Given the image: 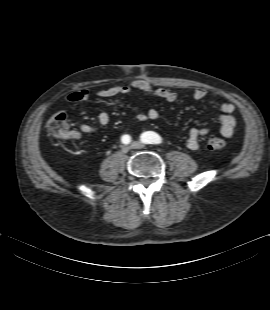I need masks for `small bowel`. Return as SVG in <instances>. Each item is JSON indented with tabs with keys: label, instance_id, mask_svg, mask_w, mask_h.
Returning <instances> with one entry per match:
<instances>
[{
	"label": "small bowel",
	"instance_id": "1",
	"mask_svg": "<svg viewBox=\"0 0 270 310\" xmlns=\"http://www.w3.org/2000/svg\"><path fill=\"white\" fill-rule=\"evenodd\" d=\"M133 92H139L152 98L161 99L166 102H175L178 98L176 92L163 89L154 88L149 83L143 80H134L129 85H115L109 88L101 89L96 92L99 98H113L117 96L129 95ZM194 100H203L209 96L208 92L203 88H196L192 93ZM90 98V92L87 89H79L69 93L65 100L71 103H79L87 101ZM221 114L219 116L220 132L224 137H231L234 133L235 121V106L230 102H224L220 105ZM160 118V113L156 109H149L146 112L137 115L140 122L148 120L156 121ZM110 122V115L106 111H101L97 117V124L92 125L88 123H81L78 126V131H74L75 138H79L81 133H95L108 126ZM209 133L208 128H191L188 131L186 145L191 150L199 148V138Z\"/></svg>",
	"mask_w": 270,
	"mask_h": 310
}]
</instances>
